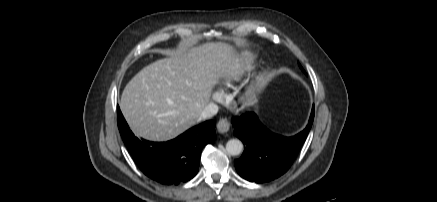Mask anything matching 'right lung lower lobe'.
I'll return each instance as SVG.
<instances>
[{
  "label": "right lung lower lobe",
  "mask_w": 437,
  "mask_h": 202,
  "mask_svg": "<svg viewBox=\"0 0 437 202\" xmlns=\"http://www.w3.org/2000/svg\"><path fill=\"white\" fill-rule=\"evenodd\" d=\"M117 123L121 137L140 170L149 178L167 185L192 179L199 170L203 147L215 138L214 120L195 126L167 142L140 140L130 131L119 107Z\"/></svg>",
  "instance_id": "obj_1"
}]
</instances>
